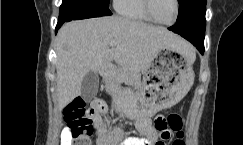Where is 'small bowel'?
I'll return each instance as SVG.
<instances>
[{
  "label": "small bowel",
  "instance_id": "1",
  "mask_svg": "<svg viewBox=\"0 0 243 145\" xmlns=\"http://www.w3.org/2000/svg\"><path fill=\"white\" fill-rule=\"evenodd\" d=\"M91 106L94 110L93 120L97 127L95 145H165V141L170 138L171 133L162 138L153 126L151 118L147 116H141L136 121L140 136L125 137L124 131L120 128L108 131L102 118V115L108 111L105 102L95 100ZM60 145H73V137L68 127H63L61 131Z\"/></svg>",
  "mask_w": 243,
  "mask_h": 145
}]
</instances>
